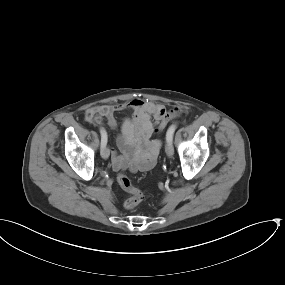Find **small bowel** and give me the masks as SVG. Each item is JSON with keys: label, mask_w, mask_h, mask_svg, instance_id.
I'll return each instance as SVG.
<instances>
[{"label": "small bowel", "mask_w": 285, "mask_h": 285, "mask_svg": "<svg viewBox=\"0 0 285 285\" xmlns=\"http://www.w3.org/2000/svg\"><path fill=\"white\" fill-rule=\"evenodd\" d=\"M159 104L151 101L133 99L128 103L95 105L85 111V121L94 124L105 122L115 129L117 127L116 114L124 110H131L132 117L122 124L118 144L123 151L119 155L112 151V166L115 171L130 170L147 171L155 165L161 143L152 139L154 121H157Z\"/></svg>", "instance_id": "c3829d8e"}]
</instances>
